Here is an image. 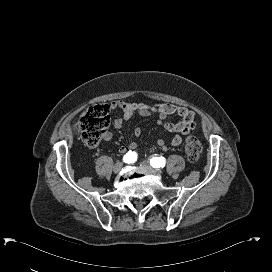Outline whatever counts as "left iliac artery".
Instances as JSON below:
<instances>
[{
  "label": "left iliac artery",
  "mask_w": 272,
  "mask_h": 272,
  "mask_svg": "<svg viewBox=\"0 0 272 272\" xmlns=\"http://www.w3.org/2000/svg\"><path fill=\"white\" fill-rule=\"evenodd\" d=\"M150 165L155 168H160L165 166L164 157H153L150 159Z\"/></svg>",
  "instance_id": "left-iliac-artery-1"
}]
</instances>
